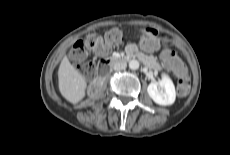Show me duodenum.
<instances>
[{"label":"duodenum","instance_id":"1","mask_svg":"<svg viewBox=\"0 0 230 155\" xmlns=\"http://www.w3.org/2000/svg\"><path fill=\"white\" fill-rule=\"evenodd\" d=\"M135 55H136V52H134V51H128V54H127L126 57L110 56V57L104 59V60L102 61V63L100 64V67H99V74H100V75L105 74V73L108 71V69H109L113 64H115V63H117V62H121V61H123V60H129L130 58H132V57L135 56ZM94 89H95V87L93 86V87H92V90H94Z\"/></svg>","mask_w":230,"mask_h":155}]
</instances>
